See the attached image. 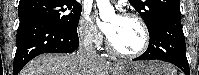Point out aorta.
Segmentation results:
<instances>
[{
	"instance_id": "obj_1",
	"label": "aorta",
	"mask_w": 199,
	"mask_h": 75,
	"mask_svg": "<svg viewBox=\"0 0 199 75\" xmlns=\"http://www.w3.org/2000/svg\"><path fill=\"white\" fill-rule=\"evenodd\" d=\"M99 9L100 18L104 21H108L115 16V10L111 6L109 0H96Z\"/></svg>"
}]
</instances>
